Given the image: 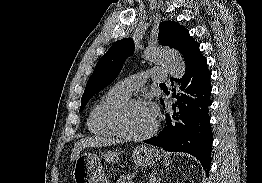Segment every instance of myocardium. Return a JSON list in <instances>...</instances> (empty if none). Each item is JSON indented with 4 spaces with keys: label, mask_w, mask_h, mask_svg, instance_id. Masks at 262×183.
Masks as SVG:
<instances>
[{
    "label": "myocardium",
    "mask_w": 262,
    "mask_h": 183,
    "mask_svg": "<svg viewBox=\"0 0 262 183\" xmlns=\"http://www.w3.org/2000/svg\"><path fill=\"white\" fill-rule=\"evenodd\" d=\"M140 104H142V103L139 100L126 99L113 112V114L111 116V124H112L113 129L116 131V133L120 137H122L124 139H128V140L141 141V140H145V139L150 138L151 136H153L157 132V129H158V122L157 121H155L153 127L148 132H146L144 134L136 135V134H132V133L127 131V129L125 127V123H124L125 114H126L129 107H131L133 105H140Z\"/></svg>",
    "instance_id": "obj_1"
}]
</instances>
